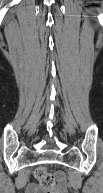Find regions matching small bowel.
I'll return each instance as SVG.
<instances>
[{
	"mask_svg": "<svg viewBox=\"0 0 103 193\" xmlns=\"http://www.w3.org/2000/svg\"><path fill=\"white\" fill-rule=\"evenodd\" d=\"M68 182L63 174H60L57 186L50 193H66ZM25 193H47V190L42 188L37 183H30L26 186Z\"/></svg>",
	"mask_w": 103,
	"mask_h": 193,
	"instance_id": "obj_1",
	"label": "small bowel"
}]
</instances>
